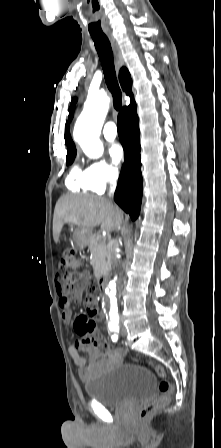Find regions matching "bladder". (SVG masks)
Segmentation results:
<instances>
[{"label": "bladder", "instance_id": "1", "mask_svg": "<svg viewBox=\"0 0 221 448\" xmlns=\"http://www.w3.org/2000/svg\"><path fill=\"white\" fill-rule=\"evenodd\" d=\"M154 375L147 369L127 363L99 372L84 383L89 399L107 407H121L154 397Z\"/></svg>", "mask_w": 221, "mask_h": 448}]
</instances>
